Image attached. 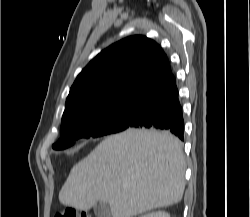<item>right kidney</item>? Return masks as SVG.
I'll list each match as a JSON object with an SVG mask.
<instances>
[{
  "label": "right kidney",
  "mask_w": 250,
  "mask_h": 217,
  "mask_svg": "<svg viewBox=\"0 0 250 217\" xmlns=\"http://www.w3.org/2000/svg\"><path fill=\"white\" fill-rule=\"evenodd\" d=\"M141 217H170V214L165 211L151 212Z\"/></svg>",
  "instance_id": "ca27d5eb"
}]
</instances>
